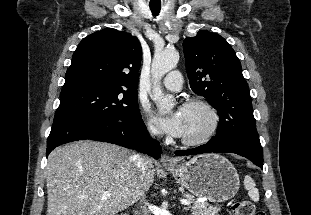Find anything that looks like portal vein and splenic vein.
<instances>
[{"instance_id":"18ae733b","label":"portal vein and splenic vein","mask_w":311,"mask_h":215,"mask_svg":"<svg viewBox=\"0 0 311 215\" xmlns=\"http://www.w3.org/2000/svg\"><path fill=\"white\" fill-rule=\"evenodd\" d=\"M110 193L109 192H104L102 195H101V200H107L109 197H110ZM181 204L185 205V206H188L190 205V201L187 200V199H181Z\"/></svg>"}]
</instances>
